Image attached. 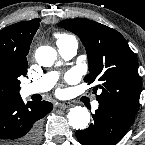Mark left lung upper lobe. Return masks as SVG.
<instances>
[{
    "instance_id": "5c2ea615",
    "label": "left lung upper lobe",
    "mask_w": 145,
    "mask_h": 145,
    "mask_svg": "<svg viewBox=\"0 0 145 145\" xmlns=\"http://www.w3.org/2000/svg\"><path fill=\"white\" fill-rule=\"evenodd\" d=\"M60 25L75 33L86 47L88 84L95 80L102 90L96 98L99 104L115 106L135 114L141 92L138 61L125 38L116 30L87 19H68Z\"/></svg>"
}]
</instances>
